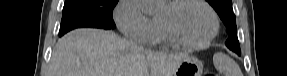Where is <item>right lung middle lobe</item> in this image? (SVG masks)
<instances>
[{
    "mask_svg": "<svg viewBox=\"0 0 287 76\" xmlns=\"http://www.w3.org/2000/svg\"><path fill=\"white\" fill-rule=\"evenodd\" d=\"M118 0H66L59 36L82 27L114 29L112 10Z\"/></svg>",
    "mask_w": 287,
    "mask_h": 76,
    "instance_id": "dd1d6c3e",
    "label": "right lung middle lobe"
}]
</instances>
